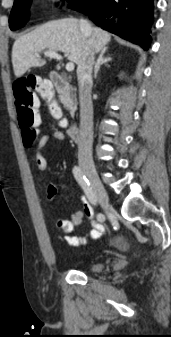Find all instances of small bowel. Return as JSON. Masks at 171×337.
Masks as SVG:
<instances>
[{
	"mask_svg": "<svg viewBox=\"0 0 171 337\" xmlns=\"http://www.w3.org/2000/svg\"><path fill=\"white\" fill-rule=\"evenodd\" d=\"M65 139L64 132L60 130H55L49 134H45L40 137L35 154V162L39 171L44 172L48 168V161L44 154L46 145L50 140L63 141ZM68 184L66 183H55L50 184L47 188V199L49 201L53 200L59 190L67 189ZM82 210L75 211L71 214L70 219L63 218H54L55 229L64 234L65 242L73 247L81 246L88 243L91 240L99 238L103 231L104 227L101 223L93 220V209L86 198L82 197ZM88 219L91 224L90 231L83 236H72L70 233L76 226H79L83 223L84 220Z\"/></svg>",
	"mask_w": 171,
	"mask_h": 337,
	"instance_id": "c3829d8e",
	"label": "small bowel"
}]
</instances>
